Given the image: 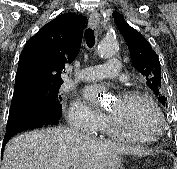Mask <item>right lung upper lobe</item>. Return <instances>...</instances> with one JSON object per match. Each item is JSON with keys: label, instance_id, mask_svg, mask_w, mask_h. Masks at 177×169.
I'll use <instances>...</instances> for the list:
<instances>
[{"label": "right lung upper lobe", "instance_id": "right-lung-upper-lobe-1", "mask_svg": "<svg viewBox=\"0 0 177 169\" xmlns=\"http://www.w3.org/2000/svg\"><path fill=\"white\" fill-rule=\"evenodd\" d=\"M85 17L65 13L53 19L31 37L22 50L15 78L14 92L25 84L59 85L65 65L80 50Z\"/></svg>", "mask_w": 177, "mask_h": 169}]
</instances>
